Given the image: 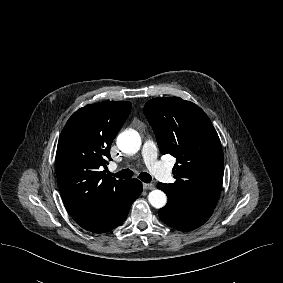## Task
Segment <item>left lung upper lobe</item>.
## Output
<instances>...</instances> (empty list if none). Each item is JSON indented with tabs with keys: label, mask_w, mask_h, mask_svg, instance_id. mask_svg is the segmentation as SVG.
Here are the masks:
<instances>
[{
	"label": "left lung upper lobe",
	"mask_w": 283,
	"mask_h": 283,
	"mask_svg": "<svg viewBox=\"0 0 283 283\" xmlns=\"http://www.w3.org/2000/svg\"><path fill=\"white\" fill-rule=\"evenodd\" d=\"M144 114L162 154L176 157V179L166 184L194 204L213 210L223 181V154L209 117L196 104L179 97H160L145 104Z\"/></svg>",
	"instance_id": "left-lung-upper-lobe-1"
}]
</instances>
